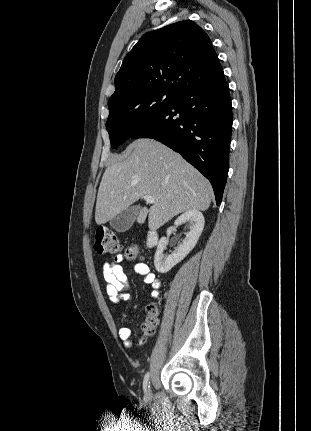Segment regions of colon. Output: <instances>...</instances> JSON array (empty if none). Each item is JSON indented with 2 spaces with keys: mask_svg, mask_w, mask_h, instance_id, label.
<instances>
[{
  "mask_svg": "<svg viewBox=\"0 0 311 431\" xmlns=\"http://www.w3.org/2000/svg\"><path fill=\"white\" fill-rule=\"evenodd\" d=\"M95 251L99 254H112L117 253L121 250V244L116 234L105 227L97 229L95 233ZM126 255L129 258H136L139 256V250L137 246H131L126 249ZM159 309L151 304L146 309V315L141 323V341H144L146 337L152 335L159 322Z\"/></svg>",
  "mask_w": 311,
  "mask_h": 431,
  "instance_id": "5ec220e1",
  "label": "colon"
}]
</instances>
